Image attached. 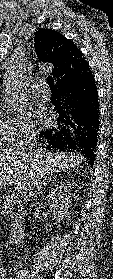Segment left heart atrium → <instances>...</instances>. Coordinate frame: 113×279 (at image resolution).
I'll return each mask as SVG.
<instances>
[{
    "label": "left heart atrium",
    "mask_w": 113,
    "mask_h": 279,
    "mask_svg": "<svg viewBox=\"0 0 113 279\" xmlns=\"http://www.w3.org/2000/svg\"><path fill=\"white\" fill-rule=\"evenodd\" d=\"M37 116H38L39 118H43V117L46 116V113H45V111H44L43 109H39V110L37 111Z\"/></svg>",
    "instance_id": "39dd6f15"
}]
</instances>
